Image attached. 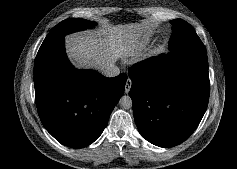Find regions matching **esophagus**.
I'll use <instances>...</instances> for the list:
<instances>
[{
	"instance_id": "obj_1",
	"label": "esophagus",
	"mask_w": 237,
	"mask_h": 169,
	"mask_svg": "<svg viewBox=\"0 0 237 169\" xmlns=\"http://www.w3.org/2000/svg\"><path fill=\"white\" fill-rule=\"evenodd\" d=\"M131 85L132 81L128 78L125 85V93H128L130 91Z\"/></svg>"
}]
</instances>
